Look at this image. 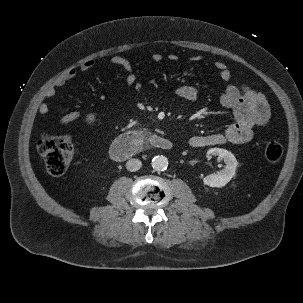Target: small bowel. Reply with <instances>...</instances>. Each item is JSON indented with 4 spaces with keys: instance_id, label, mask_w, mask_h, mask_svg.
Listing matches in <instances>:
<instances>
[{
    "instance_id": "small-bowel-1",
    "label": "small bowel",
    "mask_w": 303,
    "mask_h": 303,
    "mask_svg": "<svg viewBox=\"0 0 303 303\" xmlns=\"http://www.w3.org/2000/svg\"><path fill=\"white\" fill-rule=\"evenodd\" d=\"M165 59L161 53L151 55V60L160 63ZM170 62L178 60L177 55L170 54L166 57ZM191 61L197 63L201 61V57L196 55ZM111 62L120 66L125 72V85L132 87L136 84L137 78L132 63L125 57L114 56ZM95 66L93 60H87L80 66L83 72L90 71ZM215 68L218 70L222 81L226 82V86L221 94V103L233 111L235 121L227 126L224 131L210 135L194 136L188 141L193 148H203L222 144H244L251 140L254 130L257 127L264 126L270 118L269 105L265 96L252 90L247 85H236L231 83L232 73L224 62L217 61ZM77 75L76 69H70L60 78L56 80L54 85L46 90L45 96L51 98L55 95L56 88L63 86L67 81L72 80ZM176 94L188 101L196 100L198 97V89L189 84L181 85L176 89ZM38 111L42 115L49 112V106L46 103L40 104ZM79 112H70L60 117L61 124H68L80 118Z\"/></svg>"
}]
</instances>
